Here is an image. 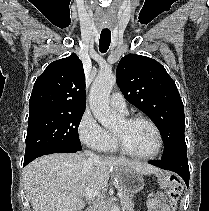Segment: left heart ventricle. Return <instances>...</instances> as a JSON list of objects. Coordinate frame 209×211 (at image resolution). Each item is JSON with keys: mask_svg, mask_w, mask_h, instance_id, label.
I'll use <instances>...</instances> for the list:
<instances>
[{"mask_svg": "<svg viewBox=\"0 0 209 211\" xmlns=\"http://www.w3.org/2000/svg\"><path fill=\"white\" fill-rule=\"evenodd\" d=\"M127 149L139 156L150 155L154 152L157 139L154 130L146 122L127 124L124 120L115 128Z\"/></svg>", "mask_w": 209, "mask_h": 211, "instance_id": "obj_1", "label": "left heart ventricle"}]
</instances>
